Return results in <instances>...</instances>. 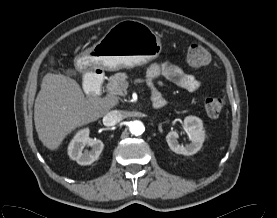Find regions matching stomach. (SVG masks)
<instances>
[{"label": "stomach", "mask_w": 277, "mask_h": 218, "mask_svg": "<svg viewBox=\"0 0 277 218\" xmlns=\"http://www.w3.org/2000/svg\"><path fill=\"white\" fill-rule=\"evenodd\" d=\"M162 45L158 35L137 20H122L92 47L76 57V65L85 70L116 71L132 68L156 59Z\"/></svg>", "instance_id": "1"}]
</instances>
